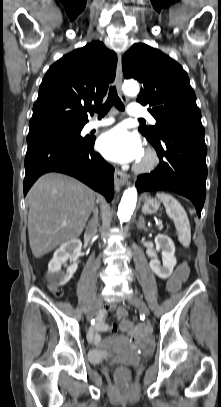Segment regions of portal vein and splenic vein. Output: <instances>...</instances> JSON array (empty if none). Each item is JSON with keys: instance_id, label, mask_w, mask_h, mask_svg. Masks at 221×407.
Here are the masks:
<instances>
[{"instance_id": "1", "label": "portal vein and splenic vein", "mask_w": 221, "mask_h": 407, "mask_svg": "<svg viewBox=\"0 0 221 407\" xmlns=\"http://www.w3.org/2000/svg\"><path fill=\"white\" fill-rule=\"evenodd\" d=\"M63 225L66 226V223H64ZM157 226H158L159 229L163 228V224L161 222Z\"/></svg>"}]
</instances>
